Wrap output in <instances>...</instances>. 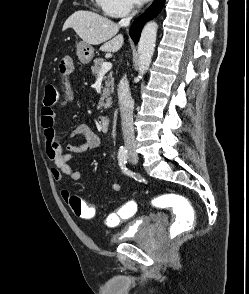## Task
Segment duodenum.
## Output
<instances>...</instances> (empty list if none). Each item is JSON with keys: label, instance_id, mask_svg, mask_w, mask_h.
I'll return each instance as SVG.
<instances>
[{"label": "duodenum", "instance_id": "410a0bca", "mask_svg": "<svg viewBox=\"0 0 249 294\" xmlns=\"http://www.w3.org/2000/svg\"><path fill=\"white\" fill-rule=\"evenodd\" d=\"M97 129L102 132H107L110 129V119L105 115L97 116L95 119Z\"/></svg>", "mask_w": 249, "mask_h": 294}]
</instances>
